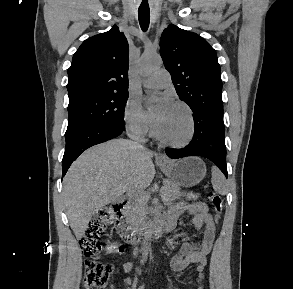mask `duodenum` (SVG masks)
I'll return each instance as SVG.
<instances>
[{
	"label": "duodenum",
	"instance_id": "duodenum-1",
	"mask_svg": "<svg viewBox=\"0 0 293 289\" xmlns=\"http://www.w3.org/2000/svg\"><path fill=\"white\" fill-rule=\"evenodd\" d=\"M129 201L124 200L114 208V224L120 237L129 244H141L146 240L161 236L167 230V222L158 218L153 225L139 227L127 215Z\"/></svg>",
	"mask_w": 293,
	"mask_h": 289
}]
</instances>
